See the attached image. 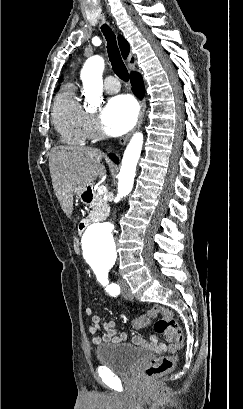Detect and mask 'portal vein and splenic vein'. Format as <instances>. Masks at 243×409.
<instances>
[{"label":"portal vein and splenic vein","instance_id":"18ae733b","mask_svg":"<svg viewBox=\"0 0 243 409\" xmlns=\"http://www.w3.org/2000/svg\"><path fill=\"white\" fill-rule=\"evenodd\" d=\"M106 192H107V188L105 186H103V185L99 186L98 189H97V193L100 194V195H103Z\"/></svg>","mask_w":243,"mask_h":409}]
</instances>
